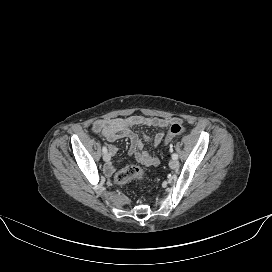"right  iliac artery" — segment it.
Returning <instances> with one entry per match:
<instances>
[{"label":"right iliac artery","mask_w":272,"mask_h":272,"mask_svg":"<svg viewBox=\"0 0 272 272\" xmlns=\"http://www.w3.org/2000/svg\"><path fill=\"white\" fill-rule=\"evenodd\" d=\"M102 151L104 154L107 153V148L105 146H103Z\"/></svg>","instance_id":"82829eb1"}]
</instances>
